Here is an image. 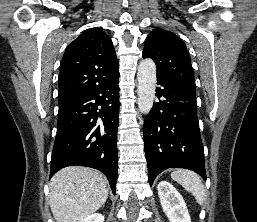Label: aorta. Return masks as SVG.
Here are the masks:
<instances>
[{"instance_id": "obj_1", "label": "aorta", "mask_w": 257, "mask_h": 222, "mask_svg": "<svg viewBox=\"0 0 257 222\" xmlns=\"http://www.w3.org/2000/svg\"><path fill=\"white\" fill-rule=\"evenodd\" d=\"M138 107L142 114H148L153 106L156 87V65L151 59L140 62L137 72Z\"/></svg>"}]
</instances>
